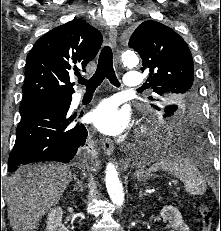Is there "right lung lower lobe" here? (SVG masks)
<instances>
[{
    "label": "right lung lower lobe",
    "mask_w": 221,
    "mask_h": 231,
    "mask_svg": "<svg viewBox=\"0 0 221 231\" xmlns=\"http://www.w3.org/2000/svg\"><path fill=\"white\" fill-rule=\"evenodd\" d=\"M71 97L45 101L20 111L21 121L8 171L39 161L69 162L85 145L87 129L68 113Z\"/></svg>",
    "instance_id": "obj_1"
}]
</instances>
